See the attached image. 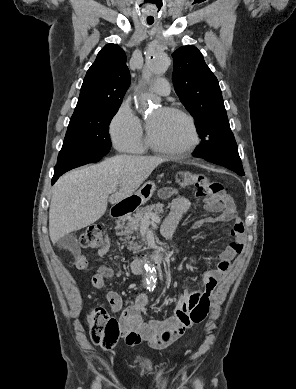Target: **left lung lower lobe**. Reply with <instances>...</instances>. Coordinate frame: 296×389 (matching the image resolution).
Returning a JSON list of instances; mask_svg holds the SVG:
<instances>
[{
	"label": "left lung lower lobe",
	"instance_id": "0a47b994",
	"mask_svg": "<svg viewBox=\"0 0 296 389\" xmlns=\"http://www.w3.org/2000/svg\"><path fill=\"white\" fill-rule=\"evenodd\" d=\"M193 156L224 166L240 176L244 175L238 147L229 121L214 128L208 137L196 147Z\"/></svg>",
	"mask_w": 296,
	"mask_h": 389
}]
</instances>
